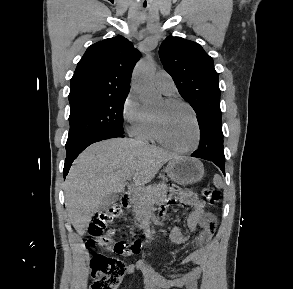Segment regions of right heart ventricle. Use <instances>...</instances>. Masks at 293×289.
Listing matches in <instances>:
<instances>
[{"instance_id": "right-heart-ventricle-1", "label": "right heart ventricle", "mask_w": 293, "mask_h": 289, "mask_svg": "<svg viewBox=\"0 0 293 289\" xmlns=\"http://www.w3.org/2000/svg\"><path fill=\"white\" fill-rule=\"evenodd\" d=\"M137 137L145 141L155 140V137L153 135V128H152V115L147 111H146L145 121L142 124L141 128L139 129L137 133Z\"/></svg>"}]
</instances>
